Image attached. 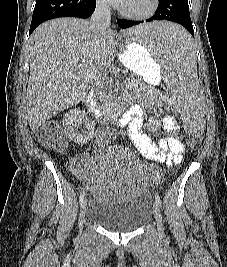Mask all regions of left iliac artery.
I'll return each instance as SVG.
<instances>
[{
  "mask_svg": "<svg viewBox=\"0 0 227 267\" xmlns=\"http://www.w3.org/2000/svg\"><path fill=\"white\" fill-rule=\"evenodd\" d=\"M155 201H156V204L161 207L162 206V202H161V199L159 197V195L157 193H155Z\"/></svg>",
  "mask_w": 227,
  "mask_h": 267,
  "instance_id": "44dca946",
  "label": "left iliac artery"
}]
</instances>
